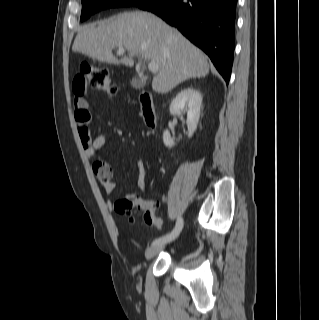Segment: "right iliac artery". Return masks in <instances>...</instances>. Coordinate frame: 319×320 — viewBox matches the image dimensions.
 <instances>
[{
    "mask_svg": "<svg viewBox=\"0 0 319 320\" xmlns=\"http://www.w3.org/2000/svg\"><path fill=\"white\" fill-rule=\"evenodd\" d=\"M182 228H183V219L181 217H178L175 228L170 233L162 237L156 238L152 242V245H161L174 240L180 234Z\"/></svg>",
    "mask_w": 319,
    "mask_h": 320,
    "instance_id": "right-iliac-artery-1",
    "label": "right iliac artery"
}]
</instances>
